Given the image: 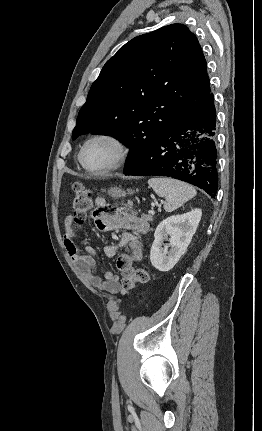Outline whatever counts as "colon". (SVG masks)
<instances>
[{
    "label": "colon",
    "mask_w": 262,
    "mask_h": 431,
    "mask_svg": "<svg viewBox=\"0 0 262 431\" xmlns=\"http://www.w3.org/2000/svg\"><path fill=\"white\" fill-rule=\"evenodd\" d=\"M91 208V196L85 186L81 183H76L73 186V194L71 198V217L75 224L80 225L84 223L88 211ZM116 211L115 206L107 205L101 212L107 215H111ZM150 280V273L143 268L135 270L131 276H126L121 280L122 289L130 291L136 287V285L147 284Z\"/></svg>",
    "instance_id": "5ec220e1"
}]
</instances>
